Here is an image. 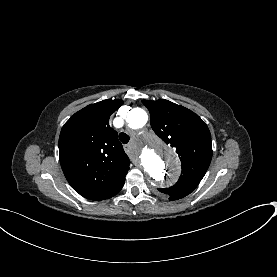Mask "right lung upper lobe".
Segmentation results:
<instances>
[{
  "label": "right lung upper lobe",
  "mask_w": 277,
  "mask_h": 277,
  "mask_svg": "<svg viewBox=\"0 0 277 277\" xmlns=\"http://www.w3.org/2000/svg\"><path fill=\"white\" fill-rule=\"evenodd\" d=\"M122 100H103L75 113L63 126L59 137L62 170L72 188L90 200H104L123 187L129 158L109 124L110 115ZM73 156L79 162L74 164ZM113 167L104 177L105 170Z\"/></svg>",
  "instance_id": "obj_1"
}]
</instances>
